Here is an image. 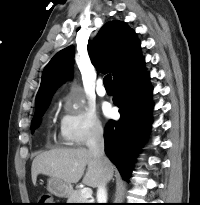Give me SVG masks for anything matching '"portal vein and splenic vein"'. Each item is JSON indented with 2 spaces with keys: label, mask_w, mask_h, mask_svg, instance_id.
<instances>
[{
  "label": "portal vein and splenic vein",
  "mask_w": 200,
  "mask_h": 205,
  "mask_svg": "<svg viewBox=\"0 0 200 205\" xmlns=\"http://www.w3.org/2000/svg\"><path fill=\"white\" fill-rule=\"evenodd\" d=\"M81 196L85 199H89L92 197V189L91 188H83L81 190Z\"/></svg>",
  "instance_id": "portal-vein-and-splenic-vein-1"
}]
</instances>
